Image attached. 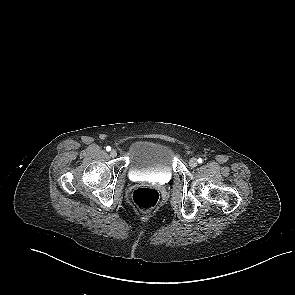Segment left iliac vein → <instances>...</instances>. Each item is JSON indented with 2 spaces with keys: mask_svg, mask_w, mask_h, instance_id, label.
<instances>
[{
  "mask_svg": "<svg viewBox=\"0 0 295 295\" xmlns=\"http://www.w3.org/2000/svg\"><path fill=\"white\" fill-rule=\"evenodd\" d=\"M197 164H198V160H197L196 158H191V159L189 160V165H190L192 168L196 167Z\"/></svg>",
  "mask_w": 295,
  "mask_h": 295,
  "instance_id": "1",
  "label": "left iliac vein"
}]
</instances>
